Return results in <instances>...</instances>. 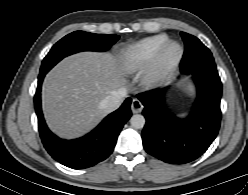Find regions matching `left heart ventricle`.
<instances>
[{"mask_svg":"<svg viewBox=\"0 0 248 195\" xmlns=\"http://www.w3.org/2000/svg\"><path fill=\"white\" fill-rule=\"evenodd\" d=\"M178 53H179V49L177 46L174 45V46L170 47V49L168 50L167 55H166V60L167 61L174 60L177 57Z\"/></svg>","mask_w":248,"mask_h":195,"instance_id":"1","label":"left heart ventricle"}]
</instances>
